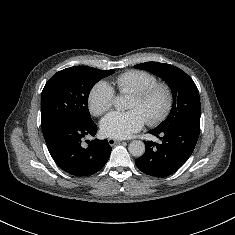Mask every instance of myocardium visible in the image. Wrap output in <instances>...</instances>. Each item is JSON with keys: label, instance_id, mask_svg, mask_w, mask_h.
I'll use <instances>...</instances> for the list:
<instances>
[{"label": "myocardium", "instance_id": "obj_1", "mask_svg": "<svg viewBox=\"0 0 235 235\" xmlns=\"http://www.w3.org/2000/svg\"><path fill=\"white\" fill-rule=\"evenodd\" d=\"M158 94L163 96L164 103L158 112L154 113L149 119H147V123L149 125H157L161 123L170 114L174 103V94L171 87L166 83L157 82L146 89L134 92L132 94V96L142 102H148Z\"/></svg>", "mask_w": 235, "mask_h": 235}]
</instances>
